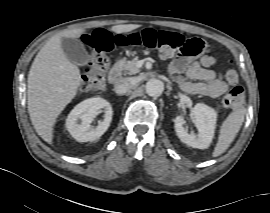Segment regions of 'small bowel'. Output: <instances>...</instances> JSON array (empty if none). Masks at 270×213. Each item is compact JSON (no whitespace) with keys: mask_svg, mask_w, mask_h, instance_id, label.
<instances>
[{"mask_svg":"<svg viewBox=\"0 0 270 213\" xmlns=\"http://www.w3.org/2000/svg\"><path fill=\"white\" fill-rule=\"evenodd\" d=\"M215 63L216 58L210 54L202 55L199 60L180 55L172 60L169 74L185 92L216 98L227 91L228 84L219 79L216 73L211 70Z\"/></svg>","mask_w":270,"mask_h":213,"instance_id":"1","label":"small bowel"}]
</instances>
